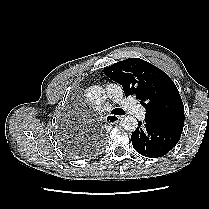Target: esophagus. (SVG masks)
<instances>
[{"label":"esophagus","mask_w":209,"mask_h":209,"mask_svg":"<svg viewBox=\"0 0 209 209\" xmlns=\"http://www.w3.org/2000/svg\"><path fill=\"white\" fill-rule=\"evenodd\" d=\"M121 119L120 116H116V115H108L106 118V122L108 123H117L119 120Z\"/></svg>","instance_id":"1"}]
</instances>
